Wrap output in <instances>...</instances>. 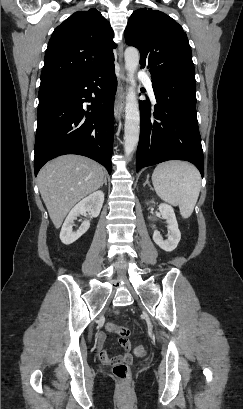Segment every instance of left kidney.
<instances>
[{
    "label": "left kidney",
    "instance_id": "left-kidney-1",
    "mask_svg": "<svg viewBox=\"0 0 243 409\" xmlns=\"http://www.w3.org/2000/svg\"><path fill=\"white\" fill-rule=\"evenodd\" d=\"M159 211L162 216V219H165L168 224L167 228L169 230V236L166 240H164L160 232L155 230L152 238L153 241L161 249H163L166 252H171L177 247L181 239V233L179 231L178 223L172 206L162 203L159 205Z\"/></svg>",
    "mask_w": 243,
    "mask_h": 409
}]
</instances>
